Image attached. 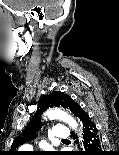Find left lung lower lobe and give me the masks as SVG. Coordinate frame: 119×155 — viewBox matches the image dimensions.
<instances>
[{
	"mask_svg": "<svg viewBox=\"0 0 119 155\" xmlns=\"http://www.w3.org/2000/svg\"><path fill=\"white\" fill-rule=\"evenodd\" d=\"M74 114L78 117L83 127L84 139L82 151L78 152L76 155H102L98 130L89 118L88 114L80 107L79 104L75 106Z\"/></svg>",
	"mask_w": 119,
	"mask_h": 155,
	"instance_id": "1",
	"label": "left lung lower lobe"
}]
</instances>
